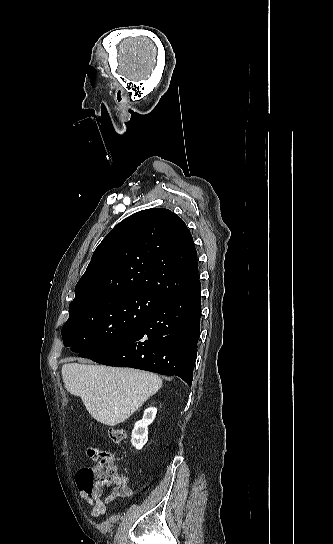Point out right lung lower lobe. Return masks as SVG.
I'll list each match as a JSON object with an SVG mask.
<instances>
[{
    "label": "right lung lower lobe",
    "instance_id": "98d812e1",
    "mask_svg": "<svg viewBox=\"0 0 333 544\" xmlns=\"http://www.w3.org/2000/svg\"><path fill=\"white\" fill-rule=\"evenodd\" d=\"M201 285L171 296L134 330L83 356L95 362L177 375L189 386L200 335Z\"/></svg>",
    "mask_w": 333,
    "mask_h": 544
}]
</instances>
